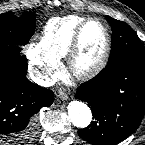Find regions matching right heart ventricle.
<instances>
[{"instance_id": "obj_1", "label": "right heart ventricle", "mask_w": 145, "mask_h": 145, "mask_svg": "<svg viewBox=\"0 0 145 145\" xmlns=\"http://www.w3.org/2000/svg\"><path fill=\"white\" fill-rule=\"evenodd\" d=\"M87 17L69 15L50 19L44 26L38 44V51L58 61L65 58L69 52L74 34L78 26Z\"/></svg>"}]
</instances>
